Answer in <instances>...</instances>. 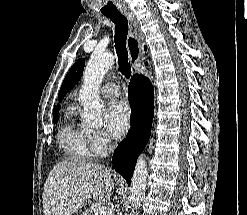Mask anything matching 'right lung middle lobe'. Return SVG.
<instances>
[{"label": "right lung middle lobe", "mask_w": 247, "mask_h": 215, "mask_svg": "<svg viewBox=\"0 0 247 215\" xmlns=\"http://www.w3.org/2000/svg\"><path fill=\"white\" fill-rule=\"evenodd\" d=\"M57 121H58V113L53 114V122L57 123Z\"/></svg>", "instance_id": "1"}]
</instances>
